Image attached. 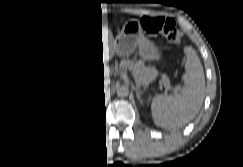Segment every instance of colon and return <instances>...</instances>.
<instances>
[{
  "instance_id": "5ec220e1",
  "label": "colon",
  "mask_w": 243,
  "mask_h": 167,
  "mask_svg": "<svg viewBox=\"0 0 243 167\" xmlns=\"http://www.w3.org/2000/svg\"><path fill=\"white\" fill-rule=\"evenodd\" d=\"M143 29L153 35H163L170 43H180L182 32L177 28L176 22L170 17H144L141 19Z\"/></svg>"
}]
</instances>
